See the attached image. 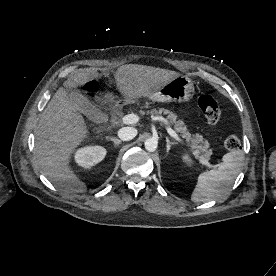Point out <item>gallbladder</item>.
Here are the masks:
<instances>
[{"label": "gallbladder", "instance_id": "1", "mask_svg": "<svg viewBox=\"0 0 276 276\" xmlns=\"http://www.w3.org/2000/svg\"><path fill=\"white\" fill-rule=\"evenodd\" d=\"M67 92L68 98L76 110L80 114L86 116L90 121L100 123L105 118V114L94 104H92L78 90L69 89Z\"/></svg>", "mask_w": 276, "mask_h": 276}]
</instances>
